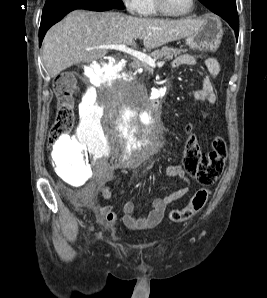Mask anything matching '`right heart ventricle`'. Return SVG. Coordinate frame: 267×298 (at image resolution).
Masks as SVG:
<instances>
[{"instance_id": "obj_1", "label": "right heart ventricle", "mask_w": 267, "mask_h": 298, "mask_svg": "<svg viewBox=\"0 0 267 298\" xmlns=\"http://www.w3.org/2000/svg\"><path fill=\"white\" fill-rule=\"evenodd\" d=\"M140 14L148 18L161 16L155 7L154 0H143Z\"/></svg>"}]
</instances>
